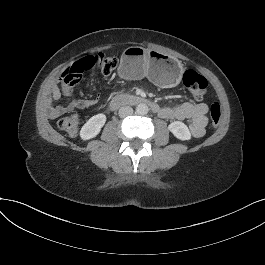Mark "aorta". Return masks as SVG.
Returning <instances> with one entry per match:
<instances>
[{"label": "aorta", "mask_w": 265, "mask_h": 265, "mask_svg": "<svg viewBox=\"0 0 265 265\" xmlns=\"http://www.w3.org/2000/svg\"><path fill=\"white\" fill-rule=\"evenodd\" d=\"M149 109L148 106L146 104H138L136 107V113L138 115H146L148 113Z\"/></svg>", "instance_id": "1"}]
</instances>
